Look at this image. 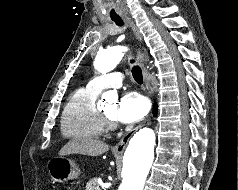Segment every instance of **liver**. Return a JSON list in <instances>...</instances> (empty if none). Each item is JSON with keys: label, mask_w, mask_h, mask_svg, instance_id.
<instances>
[{"label": "liver", "mask_w": 238, "mask_h": 190, "mask_svg": "<svg viewBox=\"0 0 238 190\" xmlns=\"http://www.w3.org/2000/svg\"><path fill=\"white\" fill-rule=\"evenodd\" d=\"M108 149L109 146L99 140L89 138H73L61 148L59 156L82 154L96 157L107 152Z\"/></svg>", "instance_id": "obj_1"}]
</instances>
